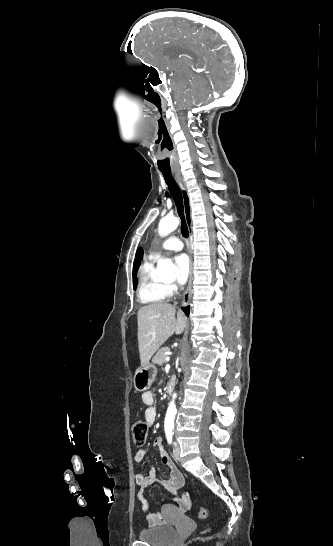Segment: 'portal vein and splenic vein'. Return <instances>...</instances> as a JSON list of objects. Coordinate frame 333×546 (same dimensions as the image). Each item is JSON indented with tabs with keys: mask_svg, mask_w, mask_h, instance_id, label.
<instances>
[{
	"mask_svg": "<svg viewBox=\"0 0 333 546\" xmlns=\"http://www.w3.org/2000/svg\"><path fill=\"white\" fill-rule=\"evenodd\" d=\"M165 359H166V361H169V360H170L169 356H167Z\"/></svg>",
	"mask_w": 333,
	"mask_h": 546,
	"instance_id": "portal-vein-and-splenic-vein-1",
	"label": "portal vein and splenic vein"
}]
</instances>
